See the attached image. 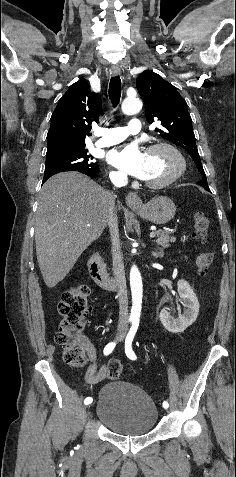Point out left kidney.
<instances>
[{
	"instance_id": "5707ae66",
	"label": "left kidney",
	"mask_w": 236,
	"mask_h": 477,
	"mask_svg": "<svg viewBox=\"0 0 236 477\" xmlns=\"http://www.w3.org/2000/svg\"><path fill=\"white\" fill-rule=\"evenodd\" d=\"M178 293L183 301L184 313L175 318L167 309H163L159 316L163 326L171 333L183 332L195 322L199 314L198 299L187 281H178Z\"/></svg>"
}]
</instances>
